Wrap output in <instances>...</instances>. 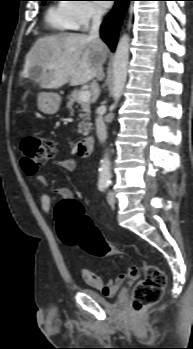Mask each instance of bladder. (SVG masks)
Here are the masks:
<instances>
[{
    "mask_svg": "<svg viewBox=\"0 0 193 349\" xmlns=\"http://www.w3.org/2000/svg\"><path fill=\"white\" fill-rule=\"evenodd\" d=\"M85 293H87L92 299H94L96 302L102 305H110L109 300L98 290L92 289V288H84ZM118 299L123 298V293H120L117 296Z\"/></svg>",
    "mask_w": 193,
    "mask_h": 349,
    "instance_id": "31cf9c89",
    "label": "bladder"
}]
</instances>
